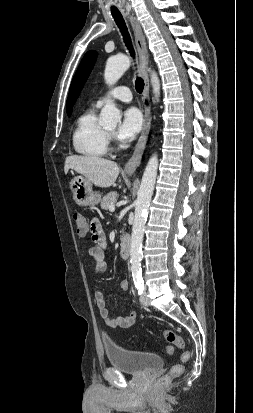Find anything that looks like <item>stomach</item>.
I'll list each match as a JSON object with an SVG mask.
<instances>
[{
  "label": "stomach",
  "instance_id": "0dacf381",
  "mask_svg": "<svg viewBox=\"0 0 253 413\" xmlns=\"http://www.w3.org/2000/svg\"><path fill=\"white\" fill-rule=\"evenodd\" d=\"M70 189L75 203L79 206H95L101 200V194L93 191L92 183L84 176H75L70 181Z\"/></svg>",
  "mask_w": 253,
  "mask_h": 413
}]
</instances>
